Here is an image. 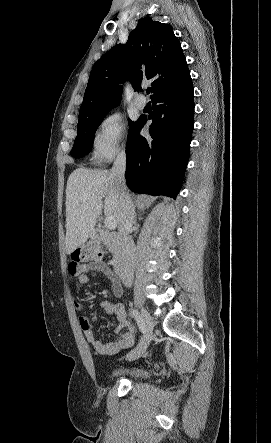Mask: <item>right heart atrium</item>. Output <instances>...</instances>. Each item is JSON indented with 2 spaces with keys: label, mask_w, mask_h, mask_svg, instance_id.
Listing matches in <instances>:
<instances>
[{
  "label": "right heart atrium",
  "mask_w": 271,
  "mask_h": 443,
  "mask_svg": "<svg viewBox=\"0 0 271 443\" xmlns=\"http://www.w3.org/2000/svg\"><path fill=\"white\" fill-rule=\"evenodd\" d=\"M127 123L122 115L111 112L98 123L91 140V155L96 162L111 159L127 149Z\"/></svg>",
  "instance_id": "1"
}]
</instances>
